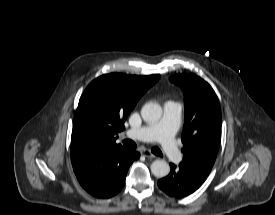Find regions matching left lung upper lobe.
<instances>
[{"label": "left lung upper lobe", "instance_id": "left-lung-upper-lobe-1", "mask_svg": "<svg viewBox=\"0 0 275 215\" xmlns=\"http://www.w3.org/2000/svg\"><path fill=\"white\" fill-rule=\"evenodd\" d=\"M169 80L184 93L185 123L181 162L189 169L209 175L221 139V109L212 87L193 74H178Z\"/></svg>", "mask_w": 275, "mask_h": 215}]
</instances>
